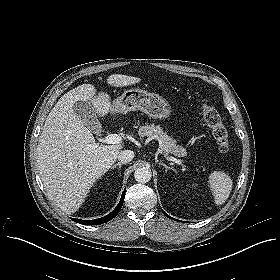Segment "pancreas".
Instances as JSON below:
<instances>
[{"label": "pancreas", "mask_w": 280, "mask_h": 280, "mask_svg": "<svg viewBox=\"0 0 280 280\" xmlns=\"http://www.w3.org/2000/svg\"><path fill=\"white\" fill-rule=\"evenodd\" d=\"M138 134L141 137L147 136L157 140L161 151L166 155L173 154L176 157H184L187 155L186 149L181 145H177L176 140H173L164 133L160 126H155L154 124L141 126Z\"/></svg>", "instance_id": "1"}]
</instances>
